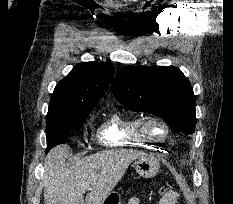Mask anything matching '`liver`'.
I'll list each match as a JSON object with an SVG mask.
<instances>
[{"instance_id": "obj_1", "label": "liver", "mask_w": 233, "mask_h": 204, "mask_svg": "<svg viewBox=\"0 0 233 204\" xmlns=\"http://www.w3.org/2000/svg\"><path fill=\"white\" fill-rule=\"evenodd\" d=\"M68 145L54 147L44 162L45 204H103L128 166L146 154L137 150H104L66 164ZM90 190L84 200L85 191Z\"/></svg>"}]
</instances>
